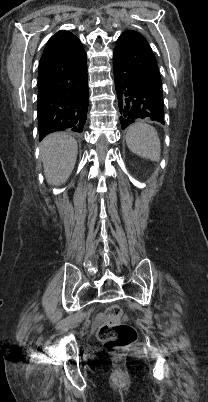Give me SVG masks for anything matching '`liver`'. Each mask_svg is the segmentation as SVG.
<instances>
[{"label":"liver","instance_id":"liver-1","mask_svg":"<svg viewBox=\"0 0 208 402\" xmlns=\"http://www.w3.org/2000/svg\"><path fill=\"white\" fill-rule=\"evenodd\" d=\"M41 158L44 174L48 184L60 186L68 180L77 160L78 146L76 140L57 132L50 134L41 144Z\"/></svg>","mask_w":208,"mask_h":402}]
</instances>
